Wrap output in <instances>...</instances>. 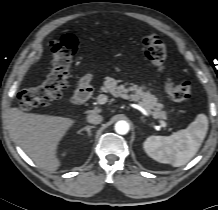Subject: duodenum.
Returning <instances> with one entry per match:
<instances>
[{"mask_svg": "<svg viewBox=\"0 0 218 210\" xmlns=\"http://www.w3.org/2000/svg\"><path fill=\"white\" fill-rule=\"evenodd\" d=\"M92 96V90L87 83L79 86L75 92L74 100L75 105H83L85 104Z\"/></svg>", "mask_w": 218, "mask_h": 210, "instance_id": "obj_1", "label": "duodenum"}]
</instances>
